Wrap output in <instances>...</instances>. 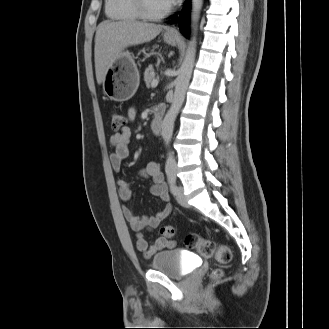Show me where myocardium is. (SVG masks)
<instances>
[{"label":"myocardium","mask_w":329,"mask_h":329,"mask_svg":"<svg viewBox=\"0 0 329 329\" xmlns=\"http://www.w3.org/2000/svg\"><path fill=\"white\" fill-rule=\"evenodd\" d=\"M135 6L140 14V16L149 21L159 20L168 15L171 11V7H167L159 13H154L149 10L146 0H134Z\"/></svg>","instance_id":"1"}]
</instances>
